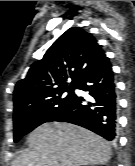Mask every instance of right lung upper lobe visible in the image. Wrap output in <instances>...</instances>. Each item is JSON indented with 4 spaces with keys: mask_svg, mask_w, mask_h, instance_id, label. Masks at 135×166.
<instances>
[{
    "mask_svg": "<svg viewBox=\"0 0 135 166\" xmlns=\"http://www.w3.org/2000/svg\"><path fill=\"white\" fill-rule=\"evenodd\" d=\"M107 59L92 34L79 27L68 29L41 60L32 64L26 78L18 81L14 109L75 87L84 75Z\"/></svg>",
    "mask_w": 135,
    "mask_h": 166,
    "instance_id": "right-lung-upper-lobe-1",
    "label": "right lung upper lobe"
}]
</instances>
